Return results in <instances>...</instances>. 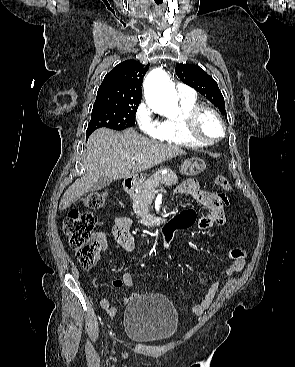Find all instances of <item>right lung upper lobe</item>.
Here are the masks:
<instances>
[{
  "mask_svg": "<svg viewBox=\"0 0 295 367\" xmlns=\"http://www.w3.org/2000/svg\"><path fill=\"white\" fill-rule=\"evenodd\" d=\"M149 65L127 60L114 67L100 85L97 97L141 101V84Z\"/></svg>",
  "mask_w": 295,
  "mask_h": 367,
  "instance_id": "obj_1",
  "label": "right lung upper lobe"
}]
</instances>
